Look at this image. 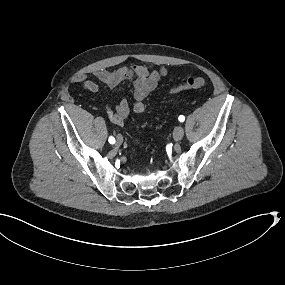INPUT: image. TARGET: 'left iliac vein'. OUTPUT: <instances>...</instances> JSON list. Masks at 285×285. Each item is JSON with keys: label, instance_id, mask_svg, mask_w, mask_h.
Listing matches in <instances>:
<instances>
[{"label": "left iliac vein", "instance_id": "4c4485c4", "mask_svg": "<svg viewBox=\"0 0 285 285\" xmlns=\"http://www.w3.org/2000/svg\"><path fill=\"white\" fill-rule=\"evenodd\" d=\"M184 136V129L182 126H177L175 127L174 131H173V138L175 139V141H179L183 138Z\"/></svg>", "mask_w": 285, "mask_h": 285}]
</instances>
